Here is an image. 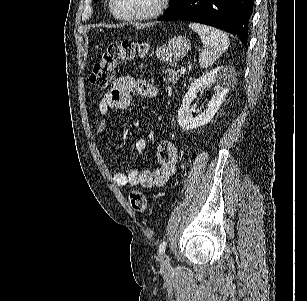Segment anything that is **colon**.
Returning a JSON list of instances; mask_svg holds the SVG:
<instances>
[{"label": "colon", "mask_w": 307, "mask_h": 301, "mask_svg": "<svg viewBox=\"0 0 307 301\" xmlns=\"http://www.w3.org/2000/svg\"><path fill=\"white\" fill-rule=\"evenodd\" d=\"M147 52V44H138L130 40L109 45L100 60L94 65L90 82L99 88L107 87L113 80L115 69L119 64L133 59L136 55L146 56ZM129 202L136 212L143 213L147 210V198L138 190L130 192Z\"/></svg>", "instance_id": "obj_1"}]
</instances>
